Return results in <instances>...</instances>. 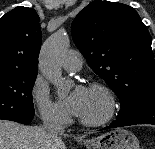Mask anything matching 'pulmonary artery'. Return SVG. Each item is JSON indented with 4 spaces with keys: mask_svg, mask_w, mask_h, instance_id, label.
I'll list each match as a JSON object with an SVG mask.
<instances>
[{
    "mask_svg": "<svg viewBox=\"0 0 155 149\" xmlns=\"http://www.w3.org/2000/svg\"><path fill=\"white\" fill-rule=\"evenodd\" d=\"M63 68L68 72H76L82 67V56L76 50H69L62 60Z\"/></svg>",
    "mask_w": 155,
    "mask_h": 149,
    "instance_id": "pulmonary-artery-1",
    "label": "pulmonary artery"
}]
</instances>
